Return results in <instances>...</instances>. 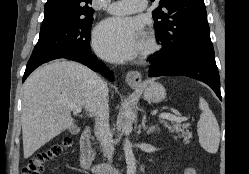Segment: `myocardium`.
<instances>
[{
    "mask_svg": "<svg viewBox=\"0 0 249 174\" xmlns=\"http://www.w3.org/2000/svg\"><path fill=\"white\" fill-rule=\"evenodd\" d=\"M159 50V44L152 34H148L140 48L142 58L148 57Z\"/></svg>",
    "mask_w": 249,
    "mask_h": 174,
    "instance_id": "1",
    "label": "myocardium"
}]
</instances>
